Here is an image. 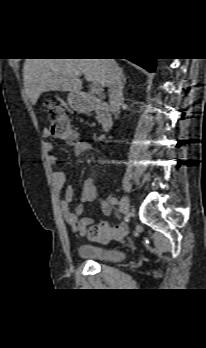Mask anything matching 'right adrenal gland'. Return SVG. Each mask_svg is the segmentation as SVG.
I'll return each instance as SVG.
<instances>
[{
  "label": "right adrenal gland",
  "mask_w": 206,
  "mask_h": 348,
  "mask_svg": "<svg viewBox=\"0 0 206 348\" xmlns=\"http://www.w3.org/2000/svg\"><path fill=\"white\" fill-rule=\"evenodd\" d=\"M121 75H122L123 85H125L126 84V77H125V75L123 73V69H121Z\"/></svg>",
  "instance_id": "2a0ac1e0"
}]
</instances>
